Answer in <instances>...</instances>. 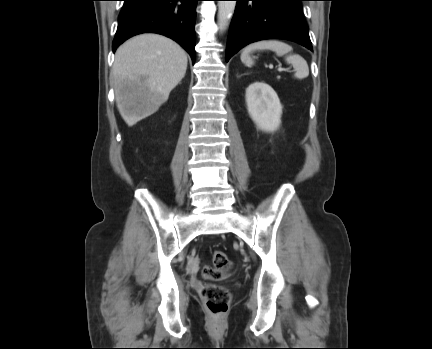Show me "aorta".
<instances>
[{
	"mask_svg": "<svg viewBox=\"0 0 432 349\" xmlns=\"http://www.w3.org/2000/svg\"><path fill=\"white\" fill-rule=\"evenodd\" d=\"M236 6V1H218V26L221 31L228 26Z\"/></svg>",
	"mask_w": 432,
	"mask_h": 349,
	"instance_id": "aorta-1",
	"label": "aorta"
}]
</instances>
